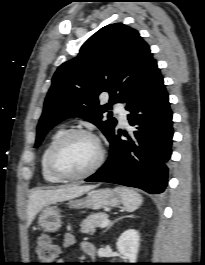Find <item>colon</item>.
<instances>
[{"label": "colon", "mask_w": 205, "mask_h": 265, "mask_svg": "<svg viewBox=\"0 0 205 265\" xmlns=\"http://www.w3.org/2000/svg\"><path fill=\"white\" fill-rule=\"evenodd\" d=\"M36 254L39 265H55L60 255L59 246L46 235L38 239L36 246Z\"/></svg>", "instance_id": "obj_1"}]
</instances>
